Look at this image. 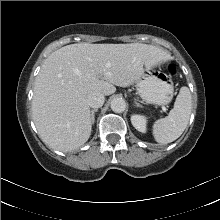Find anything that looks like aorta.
Instances as JSON below:
<instances>
[{
  "mask_svg": "<svg viewBox=\"0 0 220 220\" xmlns=\"http://www.w3.org/2000/svg\"><path fill=\"white\" fill-rule=\"evenodd\" d=\"M111 109L115 113H122L126 109V102L122 98H114L110 103Z\"/></svg>",
  "mask_w": 220,
  "mask_h": 220,
  "instance_id": "762f6f07",
  "label": "aorta"
}]
</instances>
